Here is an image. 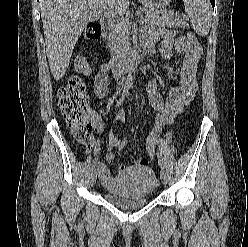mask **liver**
Returning a JSON list of instances; mask_svg holds the SVG:
<instances>
[{"label":"liver","instance_id":"6515ba94","mask_svg":"<svg viewBox=\"0 0 248 247\" xmlns=\"http://www.w3.org/2000/svg\"><path fill=\"white\" fill-rule=\"evenodd\" d=\"M46 54L51 73L60 80L73 49L89 22L103 12L125 11L129 0H40Z\"/></svg>","mask_w":248,"mask_h":247}]
</instances>
